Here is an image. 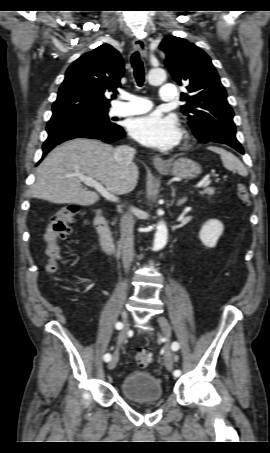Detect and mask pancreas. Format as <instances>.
I'll return each mask as SVG.
<instances>
[{
    "label": "pancreas",
    "mask_w": 270,
    "mask_h": 453,
    "mask_svg": "<svg viewBox=\"0 0 270 453\" xmlns=\"http://www.w3.org/2000/svg\"><path fill=\"white\" fill-rule=\"evenodd\" d=\"M200 194L203 196V195H207L208 198L210 199L211 196H213L215 194V188L213 187H208L206 188L205 190L201 191Z\"/></svg>",
    "instance_id": "cf45deb5"
}]
</instances>
